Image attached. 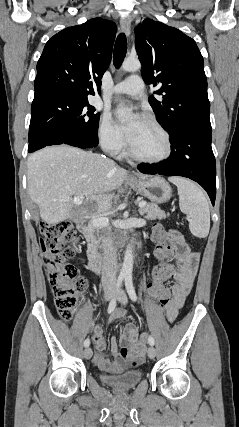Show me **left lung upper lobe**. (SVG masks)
<instances>
[{"mask_svg":"<svg viewBox=\"0 0 239 427\" xmlns=\"http://www.w3.org/2000/svg\"><path fill=\"white\" fill-rule=\"evenodd\" d=\"M135 47L147 84L161 85L149 103L169 135L184 125L211 126L203 57L195 41L152 19L135 28Z\"/></svg>","mask_w":239,"mask_h":427,"instance_id":"obj_1","label":"left lung upper lobe"}]
</instances>
